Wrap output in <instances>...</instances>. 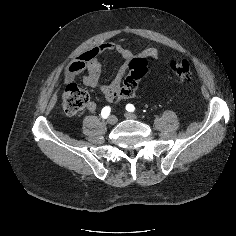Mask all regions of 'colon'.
<instances>
[{
  "instance_id": "colon-1",
  "label": "colon",
  "mask_w": 236,
  "mask_h": 236,
  "mask_svg": "<svg viewBox=\"0 0 236 236\" xmlns=\"http://www.w3.org/2000/svg\"><path fill=\"white\" fill-rule=\"evenodd\" d=\"M170 69L178 82L185 83L191 78V65L187 60H174ZM148 72V63L142 58H133L129 63V74L124 79L120 89V96L137 90L140 80ZM136 92V91H135ZM89 103L88 93L77 86L69 84L63 94V108L68 115H75Z\"/></svg>"
}]
</instances>
